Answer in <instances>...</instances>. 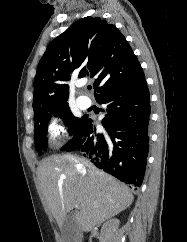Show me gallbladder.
Masks as SVG:
<instances>
[{
    "instance_id": "bac80fb5",
    "label": "gallbladder",
    "mask_w": 187,
    "mask_h": 242,
    "mask_svg": "<svg viewBox=\"0 0 187 242\" xmlns=\"http://www.w3.org/2000/svg\"><path fill=\"white\" fill-rule=\"evenodd\" d=\"M62 242H79L80 231L73 215H67L61 225Z\"/></svg>"
}]
</instances>
